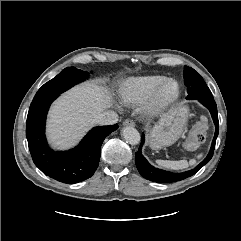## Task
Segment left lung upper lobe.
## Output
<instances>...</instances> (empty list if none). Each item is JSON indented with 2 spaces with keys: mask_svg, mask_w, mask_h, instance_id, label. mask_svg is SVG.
Masks as SVG:
<instances>
[{
  "mask_svg": "<svg viewBox=\"0 0 241 241\" xmlns=\"http://www.w3.org/2000/svg\"><path fill=\"white\" fill-rule=\"evenodd\" d=\"M184 83L188 92L187 99L213 97L201 75L188 66L184 67Z\"/></svg>",
  "mask_w": 241,
  "mask_h": 241,
  "instance_id": "left-lung-upper-lobe-1",
  "label": "left lung upper lobe"
}]
</instances>
